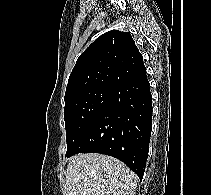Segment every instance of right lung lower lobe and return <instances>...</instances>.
I'll use <instances>...</instances> for the list:
<instances>
[{"label": "right lung lower lobe", "instance_id": "98d812e1", "mask_svg": "<svg viewBox=\"0 0 211 195\" xmlns=\"http://www.w3.org/2000/svg\"><path fill=\"white\" fill-rule=\"evenodd\" d=\"M151 128L152 98L144 75L111 90L103 110L66 156L91 152L110 155L142 180Z\"/></svg>", "mask_w": 211, "mask_h": 195}]
</instances>
